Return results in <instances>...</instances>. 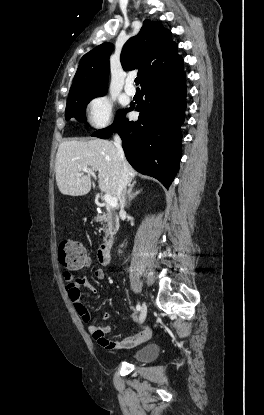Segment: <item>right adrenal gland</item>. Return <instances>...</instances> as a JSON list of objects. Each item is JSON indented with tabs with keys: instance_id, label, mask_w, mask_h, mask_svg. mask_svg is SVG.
Segmentation results:
<instances>
[{
	"instance_id": "right-adrenal-gland-1",
	"label": "right adrenal gland",
	"mask_w": 264,
	"mask_h": 415,
	"mask_svg": "<svg viewBox=\"0 0 264 415\" xmlns=\"http://www.w3.org/2000/svg\"><path fill=\"white\" fill-rule=\"evenodd\" d=\"M135 184H136V181L132 182V184H129V189L127 192V204H126L127 206L130 204L131 200L134 199L141 192V190L132 192Z\"/></svg>"
}]
</instances>
